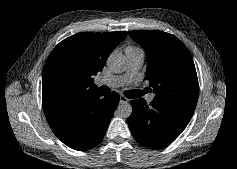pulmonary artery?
I'll return each mask as SVG.
<instances>
[{
  "instance_id": "1",
  "label": "pulmonary artery",
  "mask_w": 237,
  "mask_h": 169,
  "mask_svg": "<svg viewBox=\"0 0 237 169\" xmlns=\"http://www.w3.org/2000/svg\"><path fill=\"white\" fill-rule=\"evenodd\" d=\"M128 59H129L131 67L133 69H138L141 66V64H142V62L144 60V54L141 53V54H136V55L128 56ZM119 82H120L119 79L113 78V77L103 78L100 81L101 84L109 86V87H114V86L118 85ZM152 99H153V95H150L148 97V100L151 101Z\"/></svg>"
}]
</instances>
